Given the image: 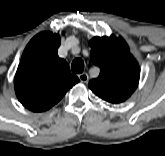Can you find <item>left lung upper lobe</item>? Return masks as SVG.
I'll return each mask as SVG.
<instances>
[{
    "label": "left lung upper lobe",
    "instance_id": "obj_1",
    "mask_svg": "<svg viewBox=\"0 0 165 156\" xmlns=\"http://www.w3.org/2000/svg\"><path fill=\"white\" fill-rule=\"evenodd\" d=\"M91 60L100 67L98 78L89 82V88L101 99L121 103L138 86L140 69L121 37L96 36L90 41Z\"/></svg>",
    "mask_w": 165,
    "mask_h": 156
}]
</instances>
